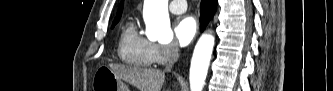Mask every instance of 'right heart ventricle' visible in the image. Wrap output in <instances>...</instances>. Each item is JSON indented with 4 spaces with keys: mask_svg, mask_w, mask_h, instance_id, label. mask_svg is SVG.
<instances>
[{
    "mask_svg": "<svg viewBox=\"0 0 333 91\" xmlns=\"http://www.w3.org/2000/svg\"><path fill=\"white\" fill-rule=\"evenodd\" d=\"M152 43L142 36L135 22L129 20L121 28L118 53L123 62L134 67L147 68L154 64Z\"/></svg>",
    "mask_w": 333,
    "mask_h": 91,
    "instance_id": "right-heart-ventricle-1",
    "label": "right heart ventricle"
}]
</instances>
